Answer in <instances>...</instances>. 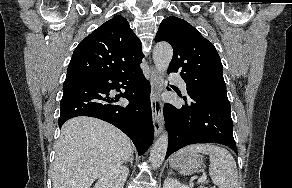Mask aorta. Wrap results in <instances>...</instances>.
<instances>
[{
  "label": "aorta",
  "instance_id": "1",
  "mask_svg": "<svg viewBox=\"0 0 292 188\" xmlns=\"http://www.w3.org/2000/svg\"><path fill=\"white\" fill-rule=\"evenodd\" d=\"M173 56V49L170 44L160 42L155 45L153 50V60L156 71L159 74L160 80L163 81V75L167 71ZM168 148V134L164 132L159 136L150 151L149 161L155 169L162 164Z\"/></svg>",
  "mask_w": 292,
  "mask_h": 188
}]
</instances>
